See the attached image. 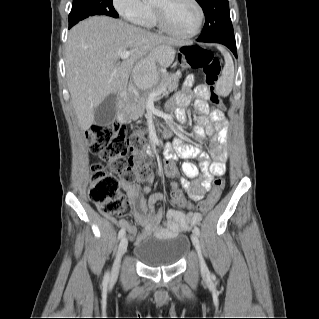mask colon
I'll use <instances>...</instances> for the list:
<instances>
[{
  "mask_svg": "<svg viewBox=\"0 0 319 319\" xmlns=\"http://www.w3.org/2000/svg\"><path fill=\"white\" fill-rule=\"evenodd\" d=\"M178 60L185 68L203 71L204 82L208 87V99L212 105L221 108L222 101L214 88L221 74L219 59L207 49L196 45H185L180 50ZM87 138L91 151L99 153L108 163V170L100 164L91 167L90 199L99 204L104 213L120 215L126 211L128 202L120 191L117 177L131 183L138 178L146 179L151 173L150 161L145 155V135L142 130H137L127 137L122 124L107 122L91 126ZM224 184L225 181L220 176L213 181L208 199L198 205L200 213H207L218 204ZM171 198L179 206L187 205V201L178 190L171 192Z\"/></svg>",
  "mask_w": 319,
  "mask_h": 319,
  "instance_id": "1",
  "label": "colon"
}]
</instances>
